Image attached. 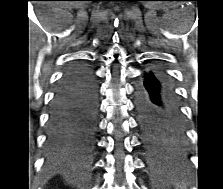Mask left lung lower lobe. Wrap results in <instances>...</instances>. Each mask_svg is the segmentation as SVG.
Listing matches in <instances>:
<instances>
[{
  "mask_svg": "<svg viewBox=\"0 0 223 189\" xmlns=\"http://www.w3.org/2000/svg\"><path fill=\"white\" fill-rule=\"evenodd\" d=\"M136 107L140 125L161 127L183 139L179 101L173 83L162 68L153 67L144 72L136 87Z\"/></svg>",
  "mask_w": 223,
  "mask_h": 189,
  "instance_id": "1",
  "label": "left lung lower lobe"
}]
</instances>
